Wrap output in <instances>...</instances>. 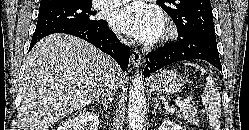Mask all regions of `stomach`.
Segmentation results:
<instances>
[{"mask_svg":"<svg viewBox=\"0 0 249 130\" xmlns=\"http://www.w3.org/2000/svg\"><path fill=\"white\" fill-rule=\"evenodd\" d=\"M151 88L160 93L174 94L180 92L186 81L182 74L174 70H161L150 79Z\"/></svg>","mask_w":249,"mask_h":130,"instance_id":"stomach-1","label":"stomach"}]
</instances>
